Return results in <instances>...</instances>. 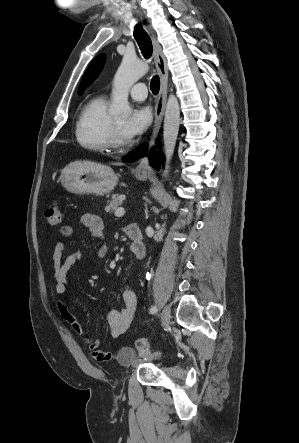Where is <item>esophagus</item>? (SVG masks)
Here are the masks:
<instances>
[{
    "instance_id": "34e87169",
    "label": "esophagus",
    "mask_w": 299,
    "mask_h": 443,
    "mask_svg": "<svg viewBox=\"0 0 299 443\" xmlns=\"http://www.w3.org/2000/svg\"><path fill=\"white\" fill-rule=\"evenodd\" d=\"M152 42H153V49H154V58H155V64L158 70V73L160 75V91L159 95L156 101L155 106V120H154V126L152 130V134L149 140V147L150 148L154 145L155 139L157 137V134L160 130L162 121H163V115L164 110L166 106V98H167V83H168V68H167V62L166 58L162 52L161 46L158 44L155 36L152 34ZM136 172L139 173H146L150 170L149 166V160L148 156H144L140 159L139 163L136 166Z\"/></svg>"
}]
</instances>
